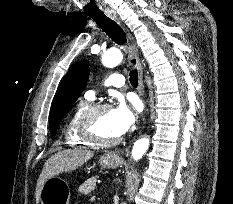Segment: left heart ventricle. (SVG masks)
I'll use <instances>...</instances> for the list:
<instances>
[{
    "label": "left heart ventricle",
    "instance_id": "1",
    "mask_svg": "<svg viewBox=\"0 0 233 204\" xmlns=\"http://www.w3.org/2000/svg\"><path fill=\"white\" fill-rule=\"evenodd\" d=\"M95 132L105 139H114L120 135L116 132L111 115V109L99 114L96 120Z\"/></svg>",
    "mask_w": 233,
    "mask_h": 204
}]
</instances>
